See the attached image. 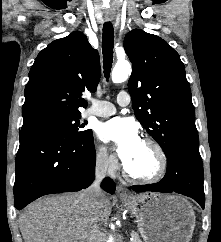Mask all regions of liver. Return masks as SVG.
Instances as JSON below:
<instances>
[{
	"instance_id": "6515ba94",
	"label": "liver",
	"mask_w": 221,
	"mask_h": 242,
	"mask_svg": "<svg viewBox=\"0 0 221 242\" xmlns=\"http://www.w3.org/2000/svg\"><path fill=\"white\" fill-rule=\"evenodd\" d=\"M82 193L39 199L26 207L19 218L25 242H88L93 226L106 222L111 213L106 195L99 199L93 215L88 214Z\"/></svg>"
}]
</instances>
